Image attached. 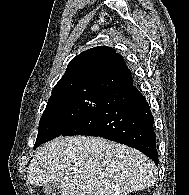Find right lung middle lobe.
<instances>
[{"instance_id":"obj_1","label":"right lung middle lobe","mask_w":189,"mask_h":195,"mask_svg":"<svg viewBox=\"0 0 189 195\" xmlns=\"http://www.w3.org/2000/svg\"><path fill=\"white\" fill-rule=\"evenodd\" d=\"M108 94L89 89L52 94L40 119L34 148L77 126Z\"/></svg>"}]
</instances>
